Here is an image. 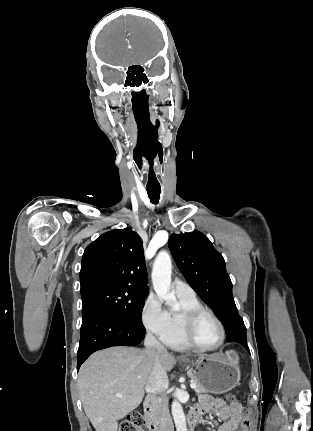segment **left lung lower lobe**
<instances>
[{
  "label": "left lung lower lobe",
  "mask_w": 313,
  "mask_h": 431,
  "mask_svg": "<svg viewBox=\"0 0 313 431\" xmlns=\"http://www.w3.org/2000/svg\"><path fill=\"white\" fill-rule=\"evenodd\" d=\"M238 343L242 344L247 350H249V348H248V346H247V344H246L245 341H240Z\"/></svg>",
  "instance_id": "1"
}]
</instances>
